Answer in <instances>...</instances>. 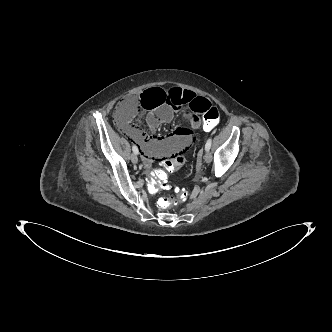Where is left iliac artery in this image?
Wrapping results in <instances>:
<instances>
[{
	"instance_id": "obj_1",
	"label": "left iliac artery",
	"mask_w": 332,
	"mask_h": 332,
	"mask_svg": "<svg viewBox=\"0 0 332 332\" xmlns=\"http://www.w3.org/2000/svg\"><path fill=\"white\" fill-rule=\"evenodd\" d=\"M211 144H212V138H209L205 144V150L209 151L211 148Z\"/></svg>"
}]
</instances>
